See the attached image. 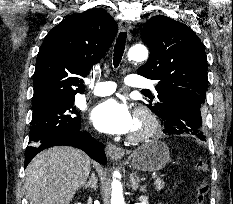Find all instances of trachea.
<instances>
[{"instance_id": "trachea-1", "label": "trachea", "mask_w": 233, "mask_h": 204, "mask_svg": "<svg viewBox=\"0 0 233 204\" xmlns=\"http://www.w3.org/2000/svg\"><path fill=\"white\" fill-rule=\"evenodd\" d=\"M126 38H127L126 32H121L117 38V41L114 47V57H113V64L115 68L118 67L122 59V56L125 50V45H126ZM142 91H147V90H142Z\"/></svg>"}]
</instances>
